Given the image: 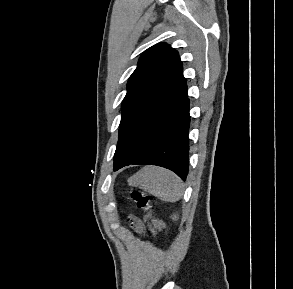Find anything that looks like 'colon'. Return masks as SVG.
<instances>
[{"label": "colon", "mask_w": 293, "mask_h": 289, "mask_svg": "<svg viewBox=\"0 0 293 289\" xmlns=\"http://www.w3.org/2000/svg\"><path fill=\"white\" fill-rule=\"evenodd\" d=\"M131 199L137 208L145 212L147 220L150 221L154 227L166 232L165 224L155 217L153 204L148 194L134 190L131 192Z\"/></svg>", "instance_id": "obj_1"}]
</instances>
